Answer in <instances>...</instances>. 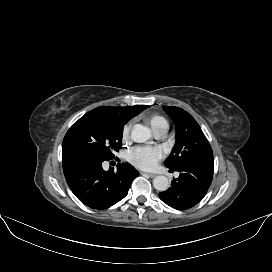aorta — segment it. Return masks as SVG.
I'll list each match as a JSON object with an SVG mask.
<instances>
[{
  "label": "aorta",
  "mask_w": 272,
  "mask_h": 272,
  "mask_svg": "<svg viewBox=\"0 0 272 272\" xmlns=\"http://www.w3.org/2000/svg\"><path fill=\"white\" fill-rule=\"evenodd\" d=\"M151 137V130L140 124L134 125L131 131V139L136 143H145ZM153 186L158 191H166L169 187V180L165 176H156L153 179Z\"/></svg>",
  "instance_id": "762f6f07"
}]
</instances>
